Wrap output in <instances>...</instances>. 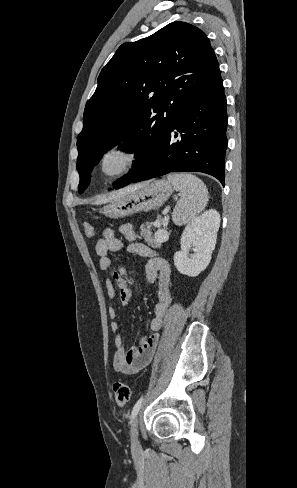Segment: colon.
Listing matches in <instances>:
<instances>
[{
    "instance_id": "5ec220e1",
    "label": "colon",
    "mask_w": 297,
    "mask_h": 488,
    "mask_svg": "<svg viewBox=\"0 0 297 488\" xmlns=\"http://www.w3.org/2000/svg\"><path fill=\"white\" fill-rule=\"evenodd\" d=\"M84 231L88 238H93L95 235V230L93 226L89 223H86L84 225ZM113 392H114L116 403L119 406L126 405L130 401L132 396L131 386L123 382L115 383L113 386Z\"/></svg>"
}]
</instances>
